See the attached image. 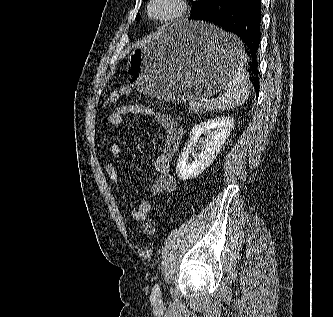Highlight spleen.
I'll use <instances>...</instances> for the list:
<instances>
[{"label": "spleen", "mask_w": 333, "mask_h": 317, "mask_svg": "<svg viewBox=\"0 0 333 317\" xmlns=\"http://www.w3.org/2000/svg\"><path fill=\"white\" fill-rule=\"evenodd\" d=\"M221 43L226 46L230 53L231 74L225 87L224 94L214 104V109H233L249 97V86L247 84V72L244 68L246 57L241 52V42L229 33L220 31Z\"/></svg>", "instance_id": "3e777b00"}]
</instances>
